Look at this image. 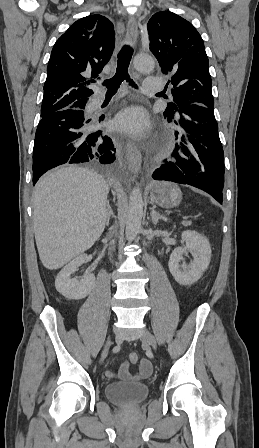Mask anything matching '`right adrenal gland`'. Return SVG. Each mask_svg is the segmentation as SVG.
<instances>
[{
    "instance_id": "1",
    "label": "right adrenal gland",
    "mask_w": 259,
    "mask_h": 448,
    "mask_svg": "<svg viewBox=\"0 0 259 448\" xmlns=\"http://www.w3.org/2000/svg\"><path fill=\"white\" fill-rule=\"evenodd\" d=\"M113 216V210H111V206L109 204V200H107V222L106 226H109L110 218Z\"/></svg>"
}]
</instances>
